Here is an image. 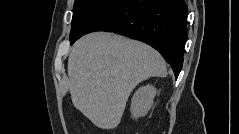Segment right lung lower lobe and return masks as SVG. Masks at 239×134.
I'll use <instances>...</instances> for the list:
<instances>
[{
    "instance_id": "1",
    "label": "right lung lower lobe",
    "mask_w": 239,
    "mask_h": 134,
    "mask_svg": "<svg viewBox=\"0 0 239 134\" xmlns=\"http://www.w3.org/2000/svg\"><path fill=\"white\" fill-rule=\"evenodd\" d=\"M187 13L184 0H119L102 13L83 35L108 31L143 41L161 53L177 78L183 65L188 36Z\"/></svg>"
}]
</instances>
